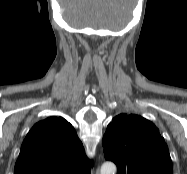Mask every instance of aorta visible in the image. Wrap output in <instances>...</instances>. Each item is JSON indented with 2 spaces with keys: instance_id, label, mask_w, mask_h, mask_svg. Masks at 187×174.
Listing matches in <instances>:
<instances>
[{
  "instance_id": "aorta-1",
  "label": "aorta",
  "mask_w": 187,
  "mask_h": 174,
  "mask_svg": "<svg viewBox=\"0 0 187 174\" xmlns=\"http://www.w3.org/2000/svg\"><path fill=\"white\" fill-rule=\"evenodd\" d=\"M116 165L112 162H106L102 165L100 174H116Z\"/></svg>"
}]
</instances>
